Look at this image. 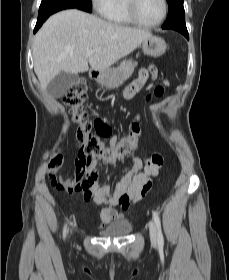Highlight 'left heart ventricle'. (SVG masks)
Here are the masks:
<instances>
[{"mask_svg":"<svg viewBox=\"0 0 229 280\" xmlns=\"http://www.w3.org/2000/svg\"><path fill=\"white\" fill-rule=\"evenodd\" d=\"M161 0H137L136 12L138 17L144 22H155L162 14Z\"/></svg>","mask_w":229,"mask_h":280,"instance_id":"b2bd125f","label":"left heart ventricle"}]
</instances>
